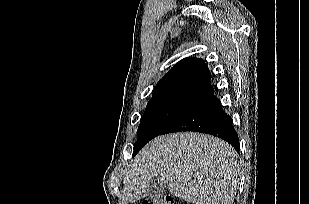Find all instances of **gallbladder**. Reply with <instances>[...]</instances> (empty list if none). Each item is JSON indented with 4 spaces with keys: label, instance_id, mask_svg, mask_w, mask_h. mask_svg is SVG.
Masks as SVG:
<instances>
[{
    "label": "gallbladder",
    "instance_id": "1",
    "mask_svg": "<svg viewBox=\"0 0 309 204\" xmlns=\"http://www.w3.org/2000/svg\"><path fill=\"white\" fill-rule=\"evenodd\" d=\"M167 184L164 180L160 178H155L150 182L149 188H148V196L152 200L159 199L164 190L166 189Z\"/></svg>",
    "mask_w": 309,
    "mask_h": 204
}]
</instances>
